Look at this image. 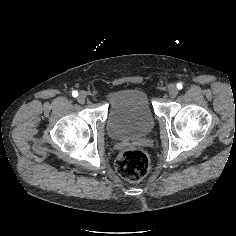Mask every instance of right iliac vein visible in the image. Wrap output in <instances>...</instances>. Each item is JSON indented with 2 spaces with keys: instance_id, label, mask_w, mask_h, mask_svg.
Returning <instances> with one entry per match:
<instances>
[{
  "instance_id": "obj_1",
  "label": "right iliac vein",
  "mask_w": 236,
  "mask_h": 236,
  "mask_svg": "<svg viewBox=\"0 0 236 236\" xmlns=\"http://www.w3.org/2000/svg\"><path fill=\"white\" fill-rule=\"evenodd\" d=\"M86 98H87V93L84 92V91H82V92H80V94L78 95L77 100H78L79 103L82 104V103L85 102Z\"/></svg>"
}]
</instances>
